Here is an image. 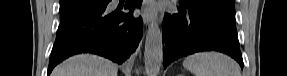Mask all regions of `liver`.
Returning <instances> with one entry per match:
<instances>
[{
    "label": "liver",
    "mask_w": 287,
    "mask_h": 76,
    "mask_svg": "<svg viewBox=\"0 0 287 76\" xmlns=\"http://www.w3.org/2000/svg\"><path fill=\"white\" fill-rule=\"evenodd\" d=\"M118 66L103 57L79 54L62 62L52 76H117Z\"/></svg>",
    "instance_id": "6515ba94"
}]
</instances>
